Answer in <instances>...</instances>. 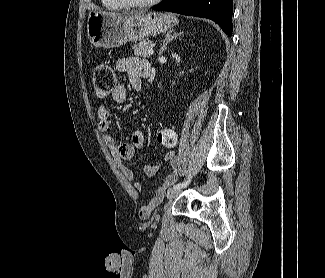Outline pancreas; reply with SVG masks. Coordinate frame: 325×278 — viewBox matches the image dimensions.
Here are the masks:
<instances>
[{"label": "pancreas", "instance_id": "obj_1", "mask_svg": "<svg viewBox=\"0 0 325 278\" xmlns=\"http://www.w3.org/2000/svg\"><path fill=\"white\" fill-rule=\"evenodd\" d=\"M152 47V40L145 39L144 41L140 42L139 44H134L132 49L134 50V55L136 57H148V50Z\"/></svg>", "mask_w": 325, "mask_h": 278}]
</instances>
